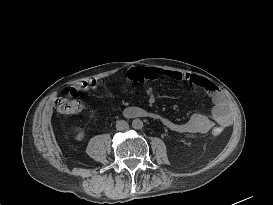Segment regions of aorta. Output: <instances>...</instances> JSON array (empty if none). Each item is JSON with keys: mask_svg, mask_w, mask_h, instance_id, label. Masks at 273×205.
I'll use <instances>...</instances> for the list:
<instances>
[{"mask_svg": "<svg viewBox=\"0 0 273 205\" xmlns=\"http://www.w3.org/2000/svg\"><path fill=\"white\" fill-rule=\"evenodd\" d=\"M132 127L134 129H141L143 127V122L140 119H134L132 121Z\"/></svg>", "mask_w": 273, "mask_h": 205, "instance_id": "aorta-1", "label": "aorta"}]
</instances>
